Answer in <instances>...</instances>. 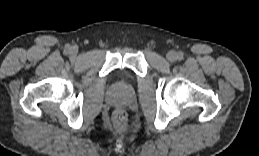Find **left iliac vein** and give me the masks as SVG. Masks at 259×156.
Wrapping results in <instances>:
<instances>
[{
  "label": "left iliac vein",
  "instance_id": "1",
  "mask_svg": "<svg viewBox=\"0 0 259 156\" xmlns=\"http://www.w3.org/2000/svg\"><path fill=\"white\" fill-rule=\"evenodd\" d=\"M167 59H168V61H170V62H174V61L177 59V54H176V52H174V51H169V52L167 53Z\"/></svg>",
  "mask_w": 259,
  "mask_h": 156
}]
</instances>
